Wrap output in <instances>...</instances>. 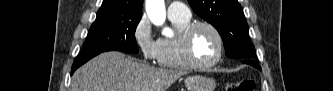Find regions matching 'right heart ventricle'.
Wrapping results in <instances>:
<instances>
[{
    "mask_svg": "<svg viewBox=\"0 0 333 91\" xmlns=\"http://www.w3.org/2000/svg\"><path fill=\"white\" fill-rule=\"evenodd\" d=\"M171 22L177 30L174 38L158 39V50L156 62L158 66L169 69L188 70L190 67L185 63L182 55L180 35L191 23V16H169Z\"/></svg>",
    "mask_w": 333,
    "mask_h": 91,
    "instance_id": "right-heart-ventricle-1",
    "label": "right heart ventricle"
}]
</instances>
